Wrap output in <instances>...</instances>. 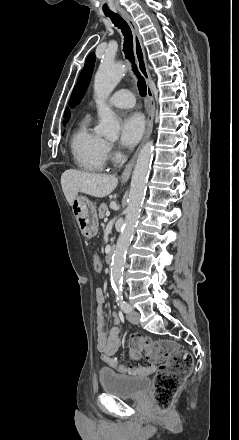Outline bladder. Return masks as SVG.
I'll return each mask as SVG.
<instances>
[{
    "mask_svg": "<svg viewBox=\"0 0 239 440\" xmlns=\"http://www.w3.org/2000/svg\"><path fill=\"white\" fill-rule=\"evenodd\" d=\"M99 383L106 394L128 399L144 396L151 385L147 377L122 375L107 369L100 370Z\"/></svg>",
    "mask_w": 239,
    "mask_h": 440,
    "instance_id": "bladder-1",
    "label": "bladder"
}]
</instances>
